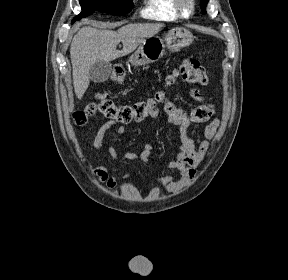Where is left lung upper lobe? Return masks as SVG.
Returning a JSON list of instances; mask_svg holds the SVG:
<instances>
[{"mask_svg":"<svg viewBox=\"0 0 288 280\" xmlns=\"http://www.w3.org/2000/svg\"><path fill=\"white\" fill-rule=\"evenodd\" d=\"M208 1H209V0H201V1H200V7H201V9H202L203 12H206V11H205V8H206V5H207Z\"/></svg>","mask_w":288,"mask_h":280,"instance_id":"obj_1","label":"left lung upper lobe"}]
</instances>
